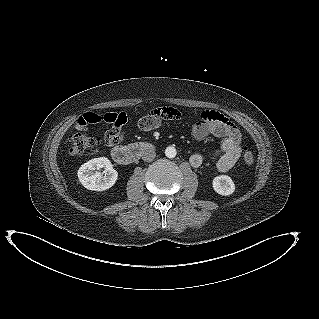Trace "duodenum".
Returning a JSON list of instances; mask_svg holds the SVG:
<instances>
[{
  "mask_svg": "<svg viewBox=\"0 0 319 319\" xmlns=\"http://www.w3.org/2000/svg\"><path fill=\"white\" fill-rule=\"evenodd\" d=\"M153 147L148 142H134L128 146H115L112 151V158L121 165H129L140 158V156Z\"/></svg>",
  "mask_w": 319,
  "mask_h": 319,
  "instance_id": "410a0bca",
  "label": "duodenum"
}]
</instances>
